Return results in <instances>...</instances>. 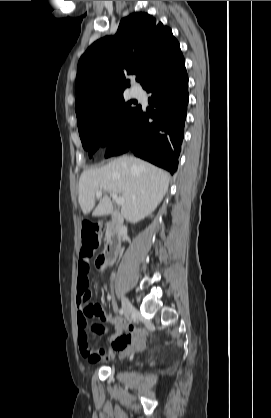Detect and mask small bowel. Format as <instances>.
Returning a JSON list of instances; mask_svg holds the SVG:
<instances>
[{
  "label": "small bowel",
  "mask_w": 271,
  "mask_h": 418,
  "mask_svg": "<svg viewBox=\"0 0 271 418\" xmlns=\"http://www.w3.org/2000/svg\"><path fill=\"white\" fill-rule=\"evenodd\" d=\"M89 262L87 259H81L78 265L77 278V297L78 306L77 323L79 329L89 328L85 332L87 339H92L94 333H101L103 320L110 317L104 314L101 305H98L97 299H93L89 286ZM145 343L144 335L133 325H128L126 329L119 334L111 337V347L109 349H95L91 344H84L81 340L79 348L81 354L90 362L97 363L115 357L116 354L124 356L133 350L140 349Z\"/></svg>",
  "instance_id": "small-bowel-1"
}]
</instances>
